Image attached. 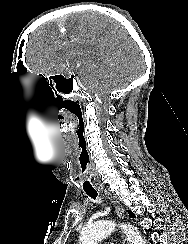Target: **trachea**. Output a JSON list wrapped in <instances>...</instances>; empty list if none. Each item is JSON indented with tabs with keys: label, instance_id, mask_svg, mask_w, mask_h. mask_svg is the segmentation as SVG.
Instances as JSON below:
<instances>
[{
	"label": "trachea",
	"instance_id": "1",
	"mask_svg": "<svg viewBox=\"0 0 188 244\" xmlns=\"http://www.w3.org/2000/svg\"><path fill=\"white\" fill-rule=\"evenodd\" d=\"M81 187L85 191V193L93 198L94 200L97 198L98 193L96 192V188L93 187L95 185V180H81Z\"/></svg>",
	"mask_w": 188,
	"mask_h": 244
}]
</instances>
